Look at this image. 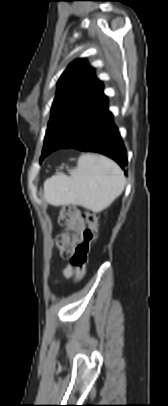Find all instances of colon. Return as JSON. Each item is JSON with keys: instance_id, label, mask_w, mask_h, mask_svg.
Instances as JSON below:
<instances>
[{"instance_id": "colon-1", "label": "colon", "mask_w": 168, "mask_h": 406, "mask_svg": "<svg viewBox=\"0 0 168 406\" xmlns=\"http://www.w3.org/2000/svg\"><path fill=\"white\" fill-rule=\"evenodd\" d=\"M58 222L65 227L57 238L61 255L69 259L74 271V281L79 282L86 274L91 244L97 237V214L87 209L66 206L59 212Z\"/></svg>"}]
</instances>
